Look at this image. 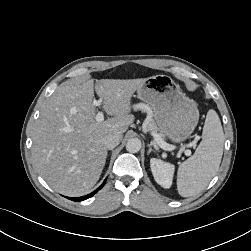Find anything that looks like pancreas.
<instances>
[{
  "mask_svg": "<svg viewBox=\"0 0 251 251\" xmlns=\"http://www.w3.org/2000/svg\"><path fill=\"white\" fill-rule=\"evenodd\" d=\"M136 108L141 109L147 113V118L144 122V125L150 131V133L157 134L163 140L165 136L162 132H160L159 127L157 126L155 120L152 117L153 116L152 109L145 104L138 105Z\"/></svg>",
  "mask_w": 251,
  "mask_h": 251,
  "instance_id": "pancreas-1",
  "label": "pancreas"
}]
</instances>
